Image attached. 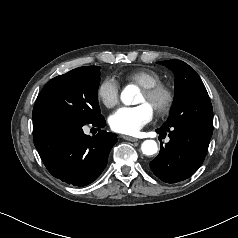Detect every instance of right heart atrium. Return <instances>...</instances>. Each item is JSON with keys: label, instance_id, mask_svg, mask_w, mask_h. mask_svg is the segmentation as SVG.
I'll use <instances>...</instances> for the list:
<instances>
[{"label": "right heart atrium", "instance_id": "right-heart-atrium-1", "mask_svg": "<svg viewBox=\"0 0 238 238\" xmlns=\"http://www.w3.org/2000/svg\"><path fill=\"white\" fill-rule=\"evenodd\" d=\"M97 96L105 107H114L119 101L118 82L112 77L103 79L98 86Z\"/></svg>", "mask_w": 238, "mask_h": 238}]
</instances>
